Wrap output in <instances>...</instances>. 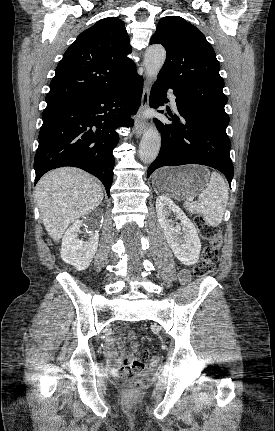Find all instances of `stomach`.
<instances>
[{"label": "stomach", "mask_w": 275, "mask_h": 431, "mask_svg": "<svg viewBox=\"0 0 275 431\" xmlns=\"http://www.w3.org/2000/svg\"><path fill=\"white\" fill-rule=\"evenodd\" d=\"M210 173L200 165L165 167L156 171L152 184L156 192L184 200L200 193L208 184Z\"/></svg>", "instance_id": "obj_1"}]
</instances>
